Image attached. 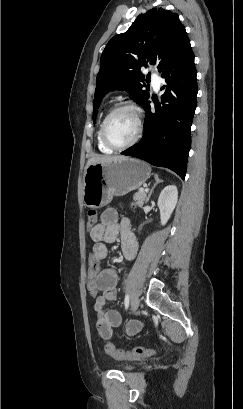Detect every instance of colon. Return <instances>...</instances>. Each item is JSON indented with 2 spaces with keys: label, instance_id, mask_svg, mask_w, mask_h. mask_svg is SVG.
Listing matches in <instances>:
<instances>
[{
  "label": "colon",
  "instance_id": "1",
  "mask_svg": "<svg viewBox=\"0 0 243 409\" xmlns=\"http://www.w3.org/2000/svg\"><path fill=\"white\" fill-rule=\"evenodd\" d=\"M97 225V212L94 209L89 210L86 228L91 231ZM96 271V267L92 268V272ZM93 296L96 295V291H90ZM103 349L106 354L117 360H138L151 356L154 353L153 349L146 347H134L130 350H123L115 348L111 343L105 342Z\"/></svg>",
  "mask_w": 243,
  "mask_h": 409
}]
</instances>
